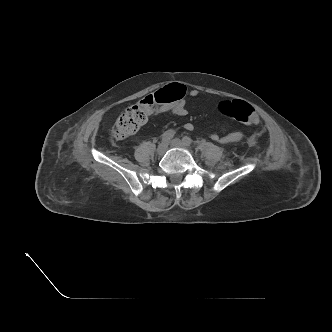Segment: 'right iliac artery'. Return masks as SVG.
<instances>
[{"mask_svg":"<svg viewBox=\"0 0 332 332\" xmlns=\"http://www.w3.org/2000/svg\"><path fill=\"white\" fill-rule=\"evenodd\" d=\"M174 135L175 131L173 129H169L166 132H164V134L162 135V141L168 142L170 139L173 138Z\"/></svg>","mask_w":332,"mask_h":332,"instance_id":"obj_1","label":"right iliac artery"}]
</instances>
